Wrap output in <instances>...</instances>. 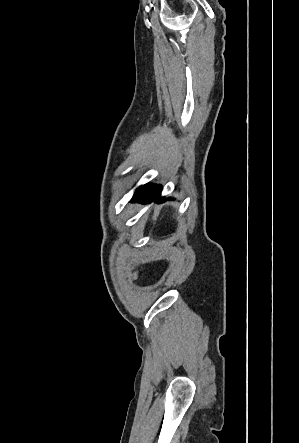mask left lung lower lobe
I'll return each instance as SVG.
<instances>
[{
  "label": "left lung lower lobe",
  "instance_id": "obj_1",
  "mask_svg": "<svg viewBox=\"0 0 299 443\" xmlns=\"http://www.w3.org/2000/svg\"><path fill=\"white\" fill-rule=\"evenodd\" d=\"M161 186L159 185H153V184H146L141 187H139L132 199L131 202H142V203H149L150 201L157 200L158 202H163L166 199L163 197H160L161 193Z\"/></svg>",
  "mask_w": 299,
  "mask_h": 443
}]
</instances>
